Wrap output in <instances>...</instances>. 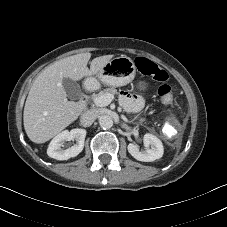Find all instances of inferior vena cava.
I'll use <instances>...</instances> for the list:
<instances>
[{
  "label": "inferior vena cava",
  "mask_w": 227,
  "mask_h": 227,
  "mask_svg": "<svg viewBox=\"0 0 227 227\" xmlns=\"http://www.w3.org/2000/svg\"><path fill=\"white\" fill-rule=\"evenodd\" d=\"M97 117H98V112L96 110L94 109L87 110L81 116V119H80L81 125L84 127H89L95 122Z\"/></svg>",
  "instance_id": "1"
}]
</instances>
